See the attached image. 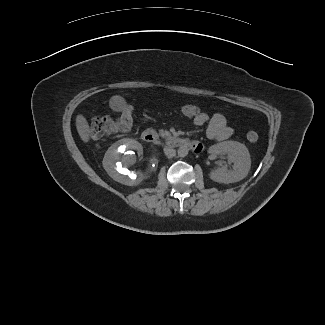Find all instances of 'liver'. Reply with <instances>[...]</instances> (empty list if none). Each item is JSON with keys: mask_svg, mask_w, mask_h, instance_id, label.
Here are the masks:
<instances>
[{"mask_svg": "<svg viewBox=\"0 0 325 325\" xmlns=\"http://www.w3.org/2000/svg\"><path fill=\"white\" fill-rule=\"evenodd\" d=\"M109 105L114 111H121L125 108L126 101L123 97L115 95L111 97ZM76 128L81 140L88 143L90 141V127L87 119L82 114L76 117Z\"/></svg>", "mask_w": 325, "mask_h": 325, "instance_id": "6515ba94", "label": "liver"}]
</instances>
